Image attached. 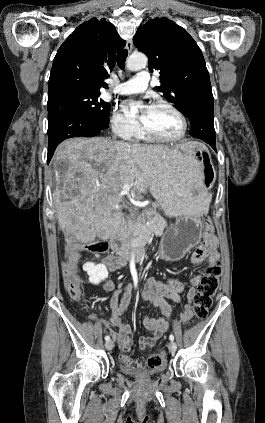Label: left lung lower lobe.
Instances as JSON below:
<instances>
[{"label": "left lung lower lobe", "instance_id": "obj_1", "mask_svg": "<svg viewBox=\"0 0 265 423\" xmlns=\"http://www.w3.org/2000/svg\"><path fill=\"white\" fill-rule=\"evenodd\" d=\"M185 115L191 122L192 137L208 143L215 151L214 101L211 88H204L191 97Z\"/></svg>", "mask_w": 265, "mask_h": 423}]
</instances>
